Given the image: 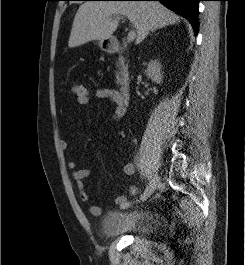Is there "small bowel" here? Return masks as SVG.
<instances>
[{"label": "small bowel", "mask_w": 245, "mask_h": 265, "mask_svg": "<svg viewBox=\"0 0 245 265\" xmlns=\"http://www.w3.org/2000/svg\"><path fill=\"white\" fill-rule=\"evenodd\" d=\"M96 97L99 99L109 100L115 105V112L113 115L114 120L120 119L125 113V103L123 102L120 93L116 89L112 88H100L96 91ZM62 149L68 148V141L63 139L60 142ZM68 168L71 171L72 180L75 182L79 198L84 203H90V197L85 190L84 180L90 176L91 171L88 168H78L76 162L71 160L68 162ZM123 172L127 176H132L135 173V166L132 163H128L124 166ZM137 194V188L131 187L129 189V195L135 196ZM127 197L125 195H118L115 198V203L121 205L126 202ZM88 210L93 216H99L102 212L101 208L95 204H89Z\"/></svg>", "instance_id": "1"}]
</instances>
